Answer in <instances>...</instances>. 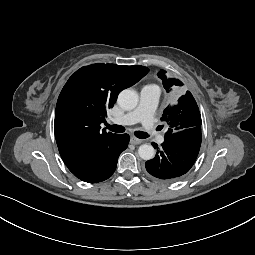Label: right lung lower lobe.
Segmentation results:
<instances>
[{
	"label": "right lung lower lobe",
	"instance_id": "98d812e1",
	"mask_svg": "<svg viewBox=\"0 0 255 255\" xmlns=\"http://www.w3.org/2000/svg\"><path fill=\"white\" fill-rule=\"evenodd\" d=\"M129 140L128 134L119 135L112 143L97 146L66 166L84 182L104 181L114 173L118 157L127 148Z\"/></svg>",
	"mask_w": 255,
	"mask_h": 255
}]
</instances>
